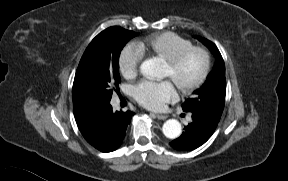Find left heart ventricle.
Segmentation results:
<instances>
[{
  "mask_svg": "<svg viewBox=\"0 0 288 181\" xmlns=\"http://www.w3.org/2000/svg\"><path fill=\"white\" fill-rule=\"evenodd\" d=\"M203 69V57L199 53H192L177 67L171 69L163 65L162 78H168L177 88H182L194 82Z\"/></svg>",
  "mask_w": 288,
  "mask_h": 181,
  "instance_id": "1",
  "label": "left heart ventricle"
}]
</instances>
